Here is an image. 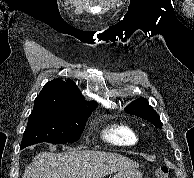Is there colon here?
Returning <instances> with one entry per match:
<instances>
[{
	"label": "colon",
	"instance_id": "colon-1",
	"mask_svg": "<svg viewBox=\"0 0 194 178\" xmlns=\"http://www.w3.org/2000/svg\"><path fill=\"white\" fill-rule=\"evenodd\" d=\"M169 176V169L166 166L158 167L154 171V177L155 178H168Z\"/></svg>",
	"mask_w": 194,
	"mask_h": 178
}]
</instances>
